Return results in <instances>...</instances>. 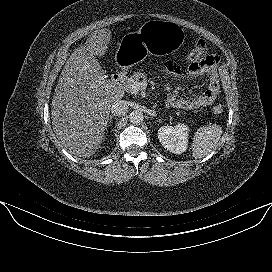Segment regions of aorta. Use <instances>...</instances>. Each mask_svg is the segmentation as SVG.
Returning a JSON list of instances; mask_svg holds the SVG:
<instances>
[{"label":"aorta","mask_w":272,"mask_h":272,"mask_svg":"<svg viewBox=\"0 0 272 272\" xmlns=\"http://www.w3.org/2000/svg\"><path fill=\"white\" fill-rule=\"evenodd\" d=\"M144 117L142 112L138 111V110H134L129 114V121L132 124L138 125L140 123H142Z\"/></svg>","instance_id":"1"}]
</instances>
